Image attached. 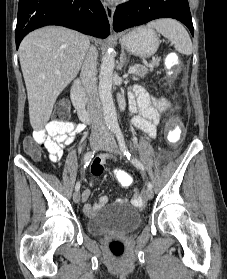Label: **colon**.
I'll list each match as a JSON object with an SVG mask.
<instances>
[{"instance_id":"5ec220e1","label":"colon","mask_w":227,"mask_h":279,"mask_svg":"<svg viewBox=\"0 0 227 279\" xmlns=\"http://www.w3.org/2000/svg\"><path fill=\"white\" fill-rule=\"evenodd\" d=\"M69 111L70 108L67 102L59 103L55 108V115H56L55 122L59 123L62 127L65 126L68 123ZM24 147L26 152L34 159L41 158L40 146L36 142L26 141ZM92 172L94 174H99L101 172V167L97 164L94 165L92 167ZM115 177L118 183L124 187H128L133 183V178L131 174L128 173L127 171L117 170L115 172ZM142 203L143 200L141 197H138L137 199L134 200L135 205H141ZM111 251L115 256H119L122 253L121 247L116 243H113L111 245Z\"/></svg>"}]
</instances>
